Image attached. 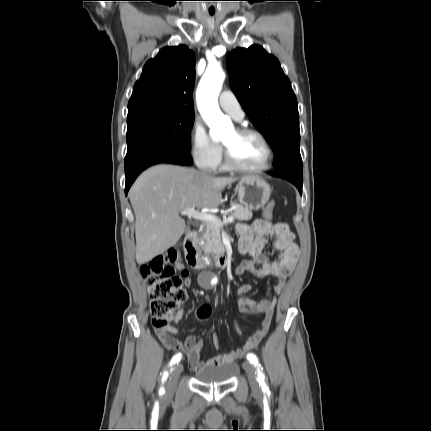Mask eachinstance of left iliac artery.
I'll use <instances>...</instances> for the list:
<instances>
[{
	"instance_id": "obj_1",
	"label": "left iliac artery",
	"mask_w": 431,
	"mask_h": 431,
	"mask_svg": "<svg viewBox=\"0 0 431 431\" xmlns=\"http://www.w3.org/2000/svg\"><path fill=\"white\" fill-rule=\"evenodd\" d=\"M247 359L250 361V363H252L255 367H257L258 381L262 385V387L265 388L266 387V384L264 382L265 376H264V374L262 372V368H260L261 366L259 364L257 356L255 354H253V353H250V354L247 355Z\"/></svg>"
}]
</instances>
